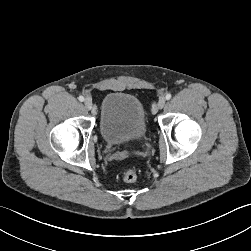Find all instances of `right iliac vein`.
Masks as SVG:
<instances>
[{
	"label": "right iliac vein",
	"mask_w": 251,
	"mask_h": 251,
	"mask_svg": "<svg viewBox=\"0 0 251 251\" xmlns=\"http://www.w3.org/2000/svg\"><path fill=\"white\" fill-rule=\"evenodd\" d=\"M84 105H85V107L88 109V110H91L92 109V101L89 99V98H86L85 100H84Z\"/></svg>",
	"instance_id": "63e3f726"
}]
</instances>
